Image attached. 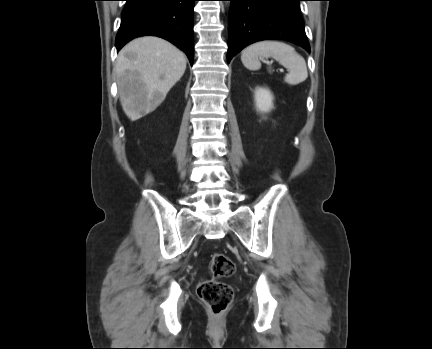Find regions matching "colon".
Returning <instances> with one entry per match:
<instances>
[{
    "label": "colon",
    "mask_w": 432,
    "mask_h": 349,
    "mask_svg": "<svg viewBox=\"0 0 432 349\" xmlns=\"http://www.w3.org/2000/svg\"><path fill=\"white\" fill-rule=\"evenodd\" d=\"M234 261L223 253H215L211 260L209 279L198 286L199 297L215 315L224 313L233 300V288L222 281L235 272Z\"/></svg>",
    "instance_id": "5ec220e1"
}]
</instances>
